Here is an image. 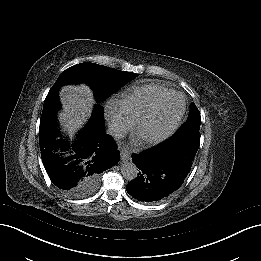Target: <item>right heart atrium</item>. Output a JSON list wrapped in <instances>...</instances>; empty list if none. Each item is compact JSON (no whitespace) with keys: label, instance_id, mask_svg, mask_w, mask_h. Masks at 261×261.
Returning a JSON list of instances; mask_svg holds the SVG:
<instances>
[{"label":"right heart atrium","instance_id":"right-heart-atrium-1","mask_svg":"<svg viewBox=\"0 0 261 261\" xmlns=\"http://www.w3.org/2000/svg\"><path fill=\"white\" fill-rule=\"evenodd\" d=\"M105 117L107 118L111 132L116 136H122L130 128V122L125 113L119 108L118 101L110 102L105 108Z\"/></svg>","mask_w":261,"mask_h":261}]
</instances>
